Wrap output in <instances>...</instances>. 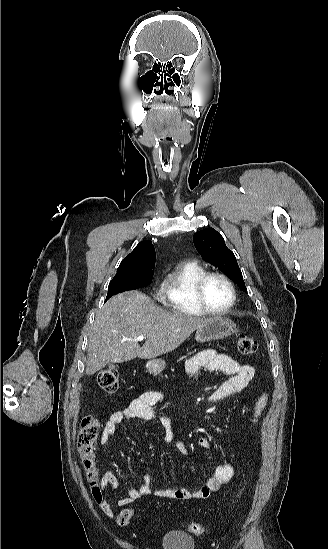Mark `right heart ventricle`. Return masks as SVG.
<instances>
[{"label": "right heart ventricle", "instance_id": "right-heart-ventricle-1", "mask_svg": "<svg viewBox=\"0 0 328 549\" xmlns=\"http://www.w3.org/2000/svg\"><path fill=\"white\" fill-rule=\"evenodd\" d=\"M206 271V263L196 258L176 266L158 290L157 303H173L174 310H180V319H205L193 306L197 304L194 297L195 283Z\"/></svg>", "mask_w": 328, "mask_h": 549}]
</instances>
